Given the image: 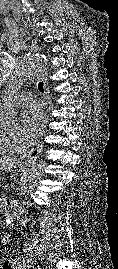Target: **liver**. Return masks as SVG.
<instances>
[{"label": "liver", "instance_id": "obj_1", "mask_svg": "<svg viewBox=\"0 0 118 269\" xmlns=\"http://www.w3.org/2000/svg\"><path fill=\"white\" fill-rule=\"evenodd\" d=\"M18 163L17 159L9 158V157H1L0 158V171L11 170Z\"/></svg>", "mask_w": 118, "mask_h": 269}]
</instances>
